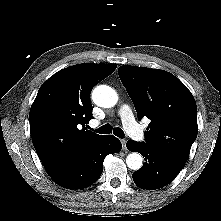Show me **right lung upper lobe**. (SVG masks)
I'll list each match as a JSON object with an SVG mask.
<instances>
[{
    "label": "right lung upper lobe",
    "instance_id": "obj_1",
    "mask_svg": "<svg viewBox=\"0 0 221 221\" xmlns=\"http://www.w3.org/2000/svg\"><path fill=\"white\" fill-rule=\"evenodd\" d=\"M116 64H78L60 70L40 87L30 109L33 145L49 175L57 173L105 135L86 130L92 118V88Z\"/></svg>",
    "mask_w": 221,
    "mask_h": 221
}]
</instances>
